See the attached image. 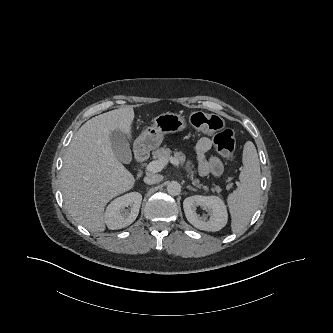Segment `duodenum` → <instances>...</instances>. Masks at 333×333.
I'll use <instances>...</instances> for the list:
<instances>
[{
	"mask_svg": "<svg viewBox=\"0 0 333 333\" xmlns=\"http://www.w3.org/2000/svg\"><path fill=\"white\" fill-rule=\"evenodd\" d=\"M146 152L143 150H137L135 152V161L137 164H141L146 159Z\"/></svg>",
	"mask_w": 333,
	"mask_h": 333,
	"instance_id": "duodenum-1",
	"label": "duodenum"
}]
</instances>
